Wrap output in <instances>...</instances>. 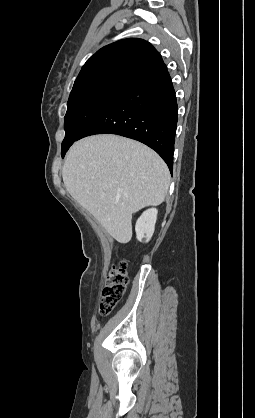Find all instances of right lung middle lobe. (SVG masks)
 Listing matches in <instances>:
<instances>
[{
    "mask_svg": "<svg viewBox=\"0 0 255 418\" xmlns=\"http://www.w3.org/2000/svg\"><path fill=\"white\" fill-rule=\"evenodd\" d=\"M126 86L112 82H93L72 89L64 118L62 150L73 144L95 114Z\"/></svg>",
    "mask_w": 255,
    "mask_h": 418,
    "instance_id": "obj_1",
    "label": "right lung middle lobe"
}]
</instances>
